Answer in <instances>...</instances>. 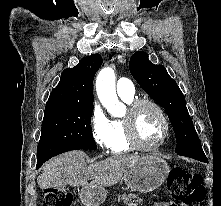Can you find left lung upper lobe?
<instances>
[{
  "label": "left lung upper lobe",
  "mask_w": 221,
  "mask_h": 206,
  "mask_svg": "<svg viewBox=\"0 0 221 206\" xmlns=\"http://www.w3.org/2000/svg\"><path fill=\"white\" fill-rule=\"evenodd\" d=\"M129 68L143 90L167 111L176 137V153L179 155L205 157L199 137L194 129L185 104V98L175 80L162 65H154L145 52L132 55Z\"/></svg>",
  "instance_id": "left-lung-upper-lobe-1"
}]
</instances>
